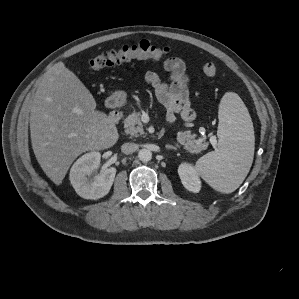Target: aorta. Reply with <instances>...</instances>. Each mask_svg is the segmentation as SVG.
Instances as JSON below:
<instances>
[{
	"label": "aorta",
	"mask_w": 299,
	"mask_h": 299,
	"mask_svg": "<svg viewBox=\"0 0 299 299\" xmlns=\"http://www.w3.org/2000/svg\"><path fill=\"white\" fill-rule=\"evenodd\" d=\"M138 157L142 162H148L152 159V152L149 149H141L138 153Z\"/></svg>",
	"instance_id": "aorta-1"
}]
</instances>
